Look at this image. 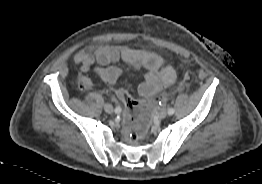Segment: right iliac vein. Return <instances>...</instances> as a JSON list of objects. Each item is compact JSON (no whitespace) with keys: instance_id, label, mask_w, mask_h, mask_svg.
<instances>
[{"instance_id":"1","label":"right iliac vein","mask_w":262,"mask_h":184,"mask_svg":"<svg viewBox=\"0 0 262 184\" xmlns=\"http://www.w3.org/2000/svg\"><path fill=\"white\" fill-rule=\"evenodd\" d=\"M104 110H105V112L111 114V113H113L114 108L111 104L107 103V104L104 105Z\"/></svg>"}]
</instances>
